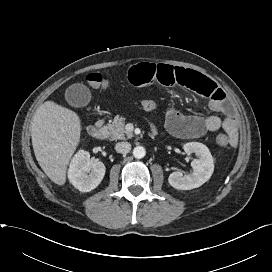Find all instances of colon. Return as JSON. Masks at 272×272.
I'll list each match as a JSON object with an SVG mask.
<instances>
[{
	"instance_id": "5ec220e1",
	"label": "colon",
	"mask_w": 272,
	"mask_h": 272,
	"mask_svg": "<svg viewBox=\"0 0 272 272\" xmlns=\"http://www.w3.org/2000/svg\"><path fill=\"white\" fill-rule=\"evenodd\" d=\"M87 82L93 88H103L108 84L107 78L96 72L90 73L87 76ZM139 103L141 108L146 111H153L158 108V103L151 99H141ZM216 141L221 147H226L229 145V138L224 134L218 135Z\"/></svg>"
}]
</instances>
